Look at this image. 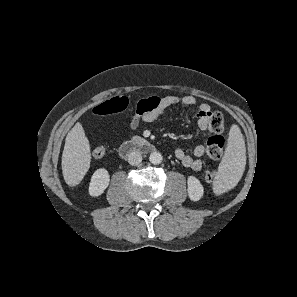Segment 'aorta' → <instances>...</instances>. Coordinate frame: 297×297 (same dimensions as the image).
<instances>
[{"mask_svg": "<svg viewBox=\"0 0 297 297\" xmlns=\"http://www.w3.org/2000/svg\"><path fill=\"white\" fill-rule=\"evenodd\" d=\"M162 160H163V157L159 152H152L149 156V161L154 165L160 164Z\"/></svg>", "mask_w": 297, "mask_h": 297, "instance_id": "aorta-1", "label": "aorta"}]
</instances>
